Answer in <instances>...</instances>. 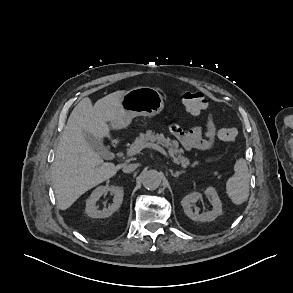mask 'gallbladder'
<instances>
[{
  "label": "gallbladder",
  "mask_w": 293,
  "mask_h": 293,
  "mask_svg": "<svg viewBox=\"0 0 293 293\" xmlns=\"http://www.w3.org/2000/svg\"><path fill=\"white\" fill-rule=\"evenodd\" d=\"M85 139H86L87 143L89 144V146L95 152H97L99 155H101L103 157H105L107 155V149L103 145L102 141H100L99 139L95 138L94 136H92L89 133L85 134Z\"/></svg>",
  "instance_id": "bac80fb5"
}]
</instances>
